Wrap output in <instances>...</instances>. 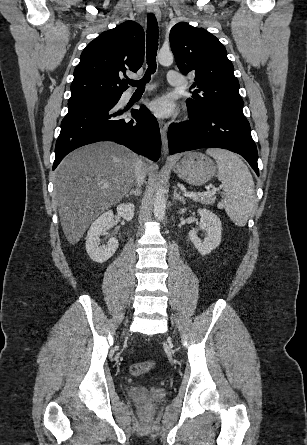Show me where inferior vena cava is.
Listing matches in <instances>:
<instances>
[{"label":"inferior vena cava","mask_w":307,"mask_h":445,"mask_svg":"<svg viewBox=\"0 0 307 445\" xmlns=\"http://www.w3.org/2000/svg\"><path fill=\"white\" fill-rule=\"evenodd\" d=\"M134 170H135V180H136L138 186H141V184H143L144 178H145V170L143 168V162H142L141 158H139V160H136Z\"/></svg>","instance_id":"obj_1"}]
</instances>
